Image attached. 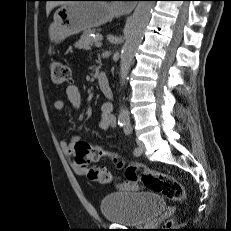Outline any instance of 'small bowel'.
I'll return each mask as SVG.
<instances>
[{"label": "small bowel", "instance_id": "small-bowel-1", "mask_svg": "<svg viewBox=\"0 0 231 231\" xmlns=\"http://www.w3.org/2000/svg\"><path fill=\"white\" fill-rule=\"evenodd\" d=\"M66 96L71 103V105L74 108H79L82 103V98L81 94L79 91V88L76 85H69L66 90ZM54 108L57 112L63 113L66 109V104L63 100H56L54 102ZM113 106L110 102L106 101L102 104L101 106V120L99 122V127L102 130H109V129H114L116 128L117 121L116 117L112 113ZM79 140V137L77 135H74L71 137L70 140H63L61 141V149L63 153L69 157L72 158L73 156V150H74V145L75 143ZM73 169L76 173L80 175H85L87 173V168L84 166H80L76 164L75 162L72 163ZM124 189L126 190H138L139 189V184L137 182H130L127 181L123 184Z\"/></svg>", "mask_w": 231, "mask_h": 231}]
</instances>
